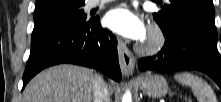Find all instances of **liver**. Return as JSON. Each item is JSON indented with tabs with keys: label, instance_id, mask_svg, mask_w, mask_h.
<instances>
[{
	"label": "liver",
	"instance_id": "liver-1",
	"mask_svg": "<svg viewBox=\"0 0 221 102\" xmlns=\"http://www.w3.org/2000/svg\"><path fill=\"white\" fill-rule=\"evenodd\" d=\"M94 72L88 68L61 64L36 75L23 92V102H91ZM113 92L112 86H109Z\"/></svg>",
	"mask_w": 221,
	"mask_h": 102
}]
</instances>
